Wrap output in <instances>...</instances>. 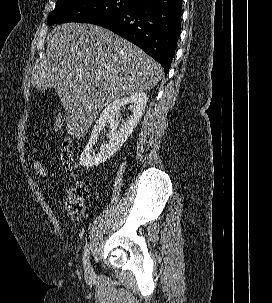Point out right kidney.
Wrapping results in <instances>:
<instances>
[{
  "instance_id": "1",
  "label": "right kidney",
  "mask_w": 272,
  "mask_h": 303,
  "mask_svg": "<svg viewBox=\"0 0 272 303\" xmlns=\"http://www.w3.org/2000/svg\"><path fill=\"white\" fill-rule=\"evenodd\" d=\"M147 101L148 95L146 93L136 92L129 97L114 100L107 105L95 122L91 137L80 155V165L90 168L109 159L132 134L143 115ZM126 104H131L132 114L128 115L126 119H122L120 110ZM107 125L110 128L108 141L101 144L97 154H92L93 146Z\"/></svg>"
}]
</instances>
